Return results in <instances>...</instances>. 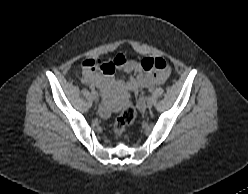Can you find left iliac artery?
<instances>
[{"label":"left iliac artery","mask_w":248,"mask_h":194,"mask_svg":"<svg viewBox=\"0 0 248 194\" xmlns=\"http://www.w3.org/2000/svg\"><path fill=\"white\" fill-rule=\"evenodd\" d=\"M149 91H150V92H152V91H153V89H149Z\"/></svg>","instance_id":"left-iliac-artery-1"}]
</instances>
